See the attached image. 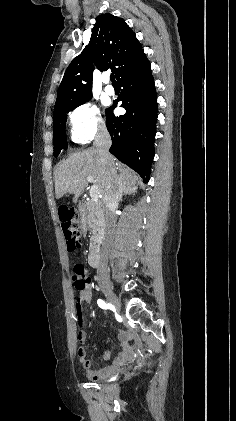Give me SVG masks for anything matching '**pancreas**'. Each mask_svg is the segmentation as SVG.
Wrapping results in <instances>:
<instances>
[{
	"mask_svg": "<svg viewBox=\"0 0 236 421\" xmlns=\"http://www.w3.org/2000/svg\"><path fill=\"white\" fill-rule=\"evenodd\" d=\"M87 225L92 233L89 251H99L101 237H103L104 217L100 202L89 200L86 202Z\"/></svg>",
	"mask_w": 236,
	"mask_h": 421,
	"instance_id": "pancreas-1",
	"label": "pancreas"
}]
</instances>
